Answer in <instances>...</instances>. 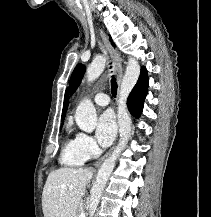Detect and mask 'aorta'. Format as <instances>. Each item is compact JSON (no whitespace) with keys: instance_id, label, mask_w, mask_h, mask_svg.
<instances>
[{"instance_id":"1","label":"aorta","mask_w":211,"mask_h":217,"mask_svg":"<svg viewBox=\"0 0 211 217\" xmlns=\"http://www.w3.org/2000/svg\"><path fill=\"white\" fill-rule=\"evenodd\" d=\"M106 58L104 56H97L92 63L87 67L86 79L88 82L96 80L104 71ZM140 75V65L134 58L128 59V65L125 75L122 79L119 99H118V124L120 139L118 145L113 150L112 154L103 162L98 170L96 181L91 189V196L89 202V216L93 217L99 203L102 191L111 175L115 162L121 152L127 146L131 135V118L127 110V98L134 88ZM75 121L78 127L84 132L91 133L97 125V114L93 103L85 99L78 105L75 113Z\"/></svg>"}]
</instances>
